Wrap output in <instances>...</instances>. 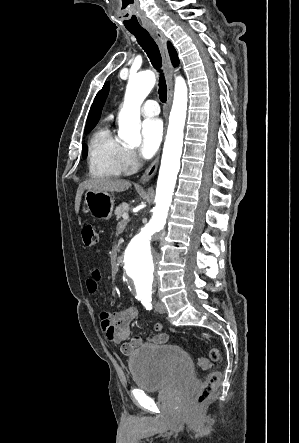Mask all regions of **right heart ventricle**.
<instances>
[{
  "mask_svg": "<svg viewBox=\"0 0 299 443\" xmlns=\"http://www.w3.org/2000/svg\"><path fill=\"white\" fill-rule=\"evenodd\" d=\"M123 145L111 134L107 126L100 127L92 135L88 148V170L95 178L118 177L122 166Z\"/></svg>",
  "mask_w": 299,
  "mask_h": 443,
  "instance_id": "e07e8e85",
  "label": "right heart ventricle"
}]
</instances>
